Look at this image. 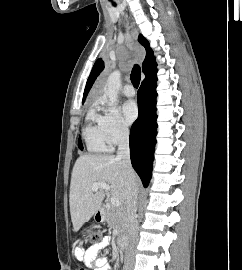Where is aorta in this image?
<instances>
[{
	"mask_svg": "<svg viewBox=\"0 0 242 270\" xmlns=\"http://www.w3.org/2000/svg\"><path fill=\"white\" fill-rule=\"evenodd\" d=\"M120 87H121V73L120 71L116 70L109 75L105 90V94L108 97L109 103L111 105L117 102Z\"/></svg>",
	"mask_w": 242,
	"mask_h": 270,
	"instance_id": "aorta-1",
	"label": "aorta"
}]
</instances>
